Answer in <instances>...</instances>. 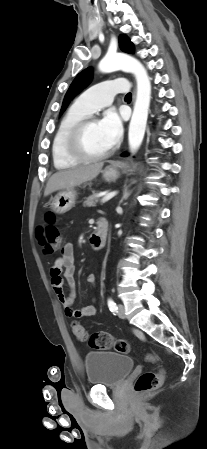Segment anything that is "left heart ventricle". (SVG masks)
I'll return each mask as SVG.
<instances>
[{
  "instance_id": "b2bd125f",
  "label": "left heart ventricle",
  "mask_w": 207,
  "mask_h": 449,
  "mask_svg": "<svg viewBox=\"0 0 207 449\" xmlns=\"http://www.w3.org/2000/svg\"><path fill=\"white\" fill-rule=\"evenodd\" d=\"M83 146L86 151L92 154L101 153L111 147L98 122L91 124L85 130L83 135Z\"/></svg>"
}]
</instances>
